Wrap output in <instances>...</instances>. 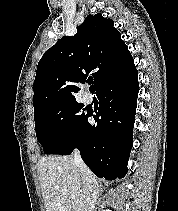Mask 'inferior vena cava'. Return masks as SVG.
<instances>
[{"label":"inferior vena cava","instance_id":"inferior-vena-cava-1","mask_svg":"<svg viewBox=\"0 0 178 211\" xmlns=\"http://www.w3.org/2000/svg\"><path fill=\"white\" fill-rule=\"evenodd\" d=\"M74 163L77 166V168L82 173V177L84 181L87 182V190L85 192V200L83 205V211H93L94 205L97 198V188L96 184L93 181V178L89 177V169L84 164L80 152L76 149L74 151Z\"/></svg>","mask_w":178,"mask_h":211}]
</instances>
